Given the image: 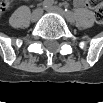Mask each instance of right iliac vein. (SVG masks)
Segmentation results:
<instances>
[{
    "label": "right iliac vein",
    "instance_id": "63e3f726",
    "mask_svg": "<svg viewBox=\"0 0 103 103\" xmlns=\"http://www.w3.org/2000/svg\"><path fill=\"white\" fill-rule=\"evenodd\" d=\"M42 14V9L41 8H37L33 11V13L31 14V20L32 21H37L39 19V17Z\"/></svg>",
    "mask_w": 103,
    "mask_h": 103
}]
</instances>
